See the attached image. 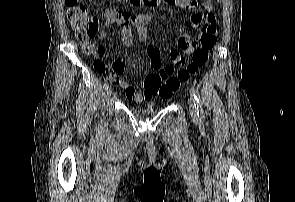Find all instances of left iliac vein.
<instances>
[{
    "mask_svg": "<svg viewBox=\"0 0 295 202\" xmlns=\"http://www.w3.org/2000/svg\"><path fill=\"white\" fill-rule=\"evenodd\" d=\"M188 104H189V111L191 113V116L193 118H196L197 117V108H196V104H195V101L192 96L189 97Z\"/></svg>",
    "mask_w": 295,
    "mask_h": 202,
    "instance_id": "left-iliac-vein-1",
    "label": "left iliac vein"
}]
</instances>
